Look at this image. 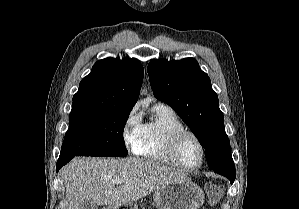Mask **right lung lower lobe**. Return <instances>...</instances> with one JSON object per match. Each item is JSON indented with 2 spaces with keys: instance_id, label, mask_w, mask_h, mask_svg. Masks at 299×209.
<instances>
[{
  "instance_id": "98d812e1",
  "label": "right lung lower lobe",
  "mask_w": 299,
  "mask_h": 209,
  "mask_svg": "<svg viewBox=\"0 0 299 209\" xmlns=\"http://www.w3.org/2000/svg\"><path fill=\"white\" fill-rule=\"evenodd\" d=\"M73 157L74 156H60L56 164V171L66 165Z\"/></svg>"
}]
</instances>
